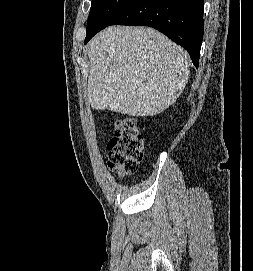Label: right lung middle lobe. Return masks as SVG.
<instances>
[{"label": "right lung middle lobe", "instance_id": "obj_1", "mask_svg": "<svg viewBox=\"0 0 253 271\" xmlns=\"http://www.w3.org/2000/svg\"><path fill=\"white\" fill-rule=\"evenodd\" d=\"M132 0H92L87 23V35L97 33L110 23Z\"/></svg>", "mask_w": 253, "mask_h": 271}]
</instances>
